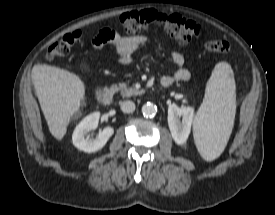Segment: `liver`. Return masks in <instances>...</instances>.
<instances>
[{"label": "liver", "instance_id": "obj_1", "mask_svg": "<svg viewBox=\"0 0 275 215\" xmlns=\"http://www.w3.org/2000/svg\"><path fill=\"white\" fill-rule=\"evenodd\" d=\"M31 77L49 131L62 140L85 97L84 82L72 72L49 65H34Z\"/></svg>", "mask_w": 275, "mask_h": 215}]
</instances>
